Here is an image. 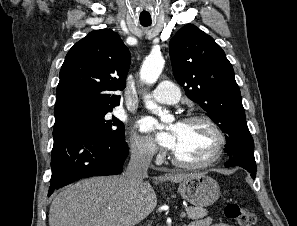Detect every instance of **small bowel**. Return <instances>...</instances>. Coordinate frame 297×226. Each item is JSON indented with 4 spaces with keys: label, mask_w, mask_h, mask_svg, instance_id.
<instances>
[{
    "label": "small bowel",
    "mask_w": 297,
    "mask_h": 226,
    "mask_svg": "<svg viewBox=\"0 0 297 226\" xmlns=\"http://www.w3.org/2000/svg\"><path fill=\"white\" fill-rule=\"evenodd\" d=\"M190 226H231L225 223H212V219L210 217H205L193 222Z\"/></svg>",
    "instance_id": "1"
}]
</instances>
